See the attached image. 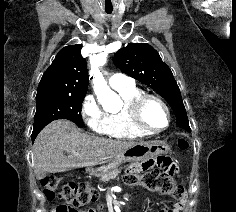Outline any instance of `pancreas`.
<instances>
[{"mask_svg": "<svg viewBox=\"0 0 236 212\" xmlns=\"http://www.w3.org/2000/svg\"><path fill=\"white\" fill-rule=\"evenodd\" d=\"M119 173H120L119 169H114V170L109 171L108 173L102 175L101 180L102 181H109L111 179H115Z\"/></svg>", "mask_w": 236, "mask_h": 212, "instance_id": "pancreas-1", "label": "pancreas"}]
</instances>
